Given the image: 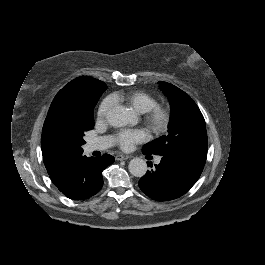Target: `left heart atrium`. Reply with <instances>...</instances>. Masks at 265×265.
I'll list each match as a JSON object with an SVG mask.
<instances>
[{
    "label": "left heart atrium",
    "mask_w": 265,
    "mask_h": 265,
    "mask_svg": "<svg viewBox=\"0 0 265 265\" xmlns=\"http://www.w3.org/2000/svg\"><path fill=\"white\" fill-rule=\"evenodd\" d=\"M148 139V134L142 129H121L114 134L115 142L123 150H130L135 144Z\"/></svg>",
    "instance_id": "obj_1"
}]
</instances>
